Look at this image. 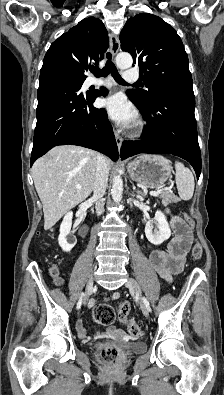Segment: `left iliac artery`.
Here are the masks:
<instances>
[{
  "mask_svg": "<svg viewBox=\"0 0 224 395\" xmlns=\"http://www.w3.org/2000/svg\"><path fill=\"white\" fill-rule=\"evenodd\" d=\"M143 300H144L146 306L148 307V310L151 311V308H150L148 300L145 297L143 298Z\"/></svg>",
  "mask_w": 224,
  "mask_h": 395,
  "instance_id": "left-iliac-artery-1",
  "label": "left iliac artery"
}]
</instances>
